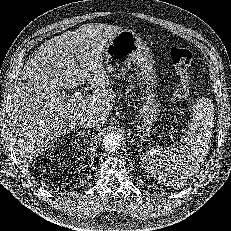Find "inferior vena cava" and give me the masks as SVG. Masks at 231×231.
<instances>
[{"mask_svg": "<svg viewBox=\"0 0 231 231\" xmlns=\"http://www.w3.org/2000/svg\"><path fill=\"white\" fill-rule=\"evenodd\" d=\"M96 122V119L92 115L86 114L80 118L79 124L81 125V127L87 129L95 127Z\"/></svg>", "mask_w": 231, "mask_h": 231, "instance_id": "obj_1", "label": "inferior vena cava"}]
</instances>
